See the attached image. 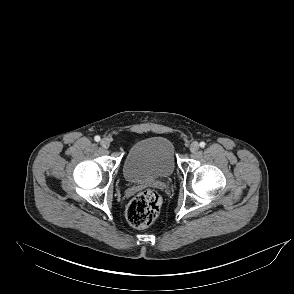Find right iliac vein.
Returning <instances> with one entry per match:
<instances>
[{
  "instance_id": "right-iliac-vein-1",
  "label": "right iliac vein",
  "mask_w": 294,
  "mask_h": 294,
  "mask_svg": "<svg viewBox=\"0 0 294 294\" xmlns=\"http://www.w3.org/2000/svg\"><path fill=\"white\" fill-rule=\"evenodd\" d=\"M100 144H101V146H102L103 148H105V149L109 148V146H110V142H109V140L106 139V138L102 139L101 142H100Z\"/></svg>"
}]
</instances>
